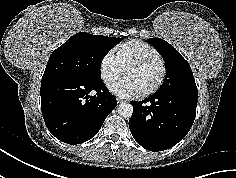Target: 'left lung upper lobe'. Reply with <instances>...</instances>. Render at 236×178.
I'll list each match as a JSON object with an SVG mask.
<instances>
[{"instance_id": "left-lung-upper-lobe-1", "label": "left lung upper lobe", "mask_w": 236, "mask_h": 178, "mask_svg": "<svg viewBox=\"0 0 236 178\" xmlns=\"http://www.w3.org/2000/svg\"><path fill=\"white\" fill-rule=\"evenodd\" d=\"M147 42L161 54L166 67L164 83L156 93L197 94L191 67L182 55L161 38H150Z\"/></svg>"}]
</instances>
